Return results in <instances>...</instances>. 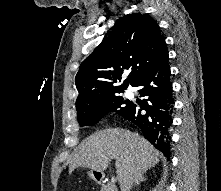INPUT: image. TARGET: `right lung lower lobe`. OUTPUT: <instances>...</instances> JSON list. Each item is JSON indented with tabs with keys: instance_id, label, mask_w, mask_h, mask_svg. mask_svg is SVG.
<instances>
[{
	"instance_id": "1",
	"label": "right lung lower lobe",
	"mask_w": 221,
	"mask_h": 191,
	"mask_svg": "<svg viewBox=\"0 0 221 191\" xmlns=\"http://www.w3.org/2000/svg\"><path fill=\"white\" fill-rule=\"evenodd\" d=\"M168 52L135 84L147 99L140 105L132 103L124 118L139 126L144 137L165 156L170 154V133L174 100L170 82ZM146 114H141V111Z\"/></svg>"
}]
</instances>
